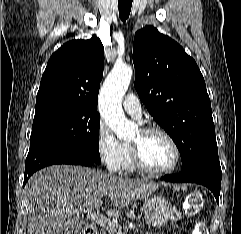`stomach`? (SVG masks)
I'll return each mask as SVG.
<instances>
[{"instance_id": "0dacf381", "label": "stomach", "mask_w": 241, "mask_h": 234, "mask_svg": "<svg viewBox=\"0 0 241 234\" xmlns=\"http://www.w3.org/2000/svg\"><path fill=\"white\" fill-rule=\"evenodd\" d=\"M142 211L149 226L161 227L165 225L173 215L171 203L163 196L154 195L145 199Z\"/></svg>"}]
</instances>
